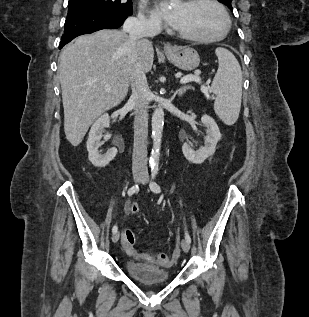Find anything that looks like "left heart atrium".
Returning a JSON list of instances; mask_svg holds the SVG:
<instances>
[{
	"instance_id": "39dd6f15",
	"label": "left heart atrium",
	"mask_w": 309,
	"mask_h": 317,
	"mask_svg": "<svg viewBox=\"0 0 309 317\" xmlns=\"http://www.w3.org/2000/svg\"><path fill=\"white\" fill-rule=\"evenodd\" d=\"M157 12L165 19V21L172 27H176L178 22L177 11H167L163 3H159L157 6Z\"/></svg>"
}]
</instances>
